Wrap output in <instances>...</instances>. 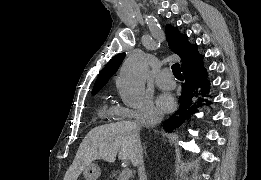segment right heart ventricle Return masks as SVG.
I'll return each mask as SVG.
<instances>
[{
  "instance_id": "right-heart-ventricle-1",
  "label": "right heart ventricle",
  "mask_w": 261,
  "mask_h": 180,
  "mask_svg": "<svg viewBox=\"0 0 261 180\" xmlns=\"http://www.w3.org/2000/svg\"><path fill=\"white\" fill-rule=\"evenodd\" d=\"M118 112L119 110L115 106L102 102L97 109V121L116 122Z\"/></svg>"
}]
</instances>
